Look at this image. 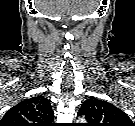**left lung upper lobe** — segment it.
Returning <instances> with one entry per match:
<instances>
[{
  "label": "left lung upper lobe",
  "instance_id": "1",
  "mask_svg": "<svg viewBox=\"0 0 135 126\" xmlns=\"http://www.w3.org/2000/svg\"><path fill=\"white\" fill-rule=\"evenodd\" d=\"M78 115L85 117L88 122L86 126H132L125 112L94 97L83 102Z\"/></svg>",
  "mask_w": 135,
  "mask_h": 126
}]
</instances>
